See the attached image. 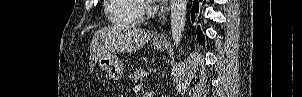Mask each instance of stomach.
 <instances>
[{"mask_svg":"<svg viewBox=\"0 0 302 97\" xmlns=\"http://www.w3.org/2000/svg\"><path fill=\"white\" fill-rule=\"evenodd\" d=\"M154 49L163 51L165 48L164 43L153 42ZM100 70L105 71L113 80L121 79L123 75V64L119 58L113 53H106L100 56L96 61Z\"/></svg>","mask_w":302,"mask_h":97,"instance_id":"obj_1","label":"stomach"}]
</instances>
